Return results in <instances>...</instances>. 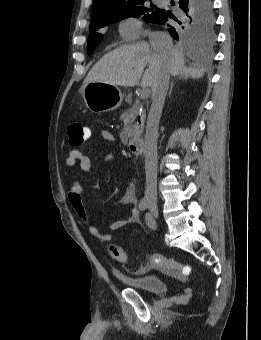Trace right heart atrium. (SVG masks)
<instances>
[{"instance_id": "d8ad5b80", "label": "right heart atrium", "mask_w": 261, "mask_h": 340, "mask_svg": "<svg viewBox=\"0 0 261 340\" xmlns=\"http://www.w3.org/2000/svg\"><path fill=\"white\" fill-rule=\"evenodd\" d=\"M119 32L126 40H135L145 35L141 21L136 17H127L119 23Z\"/></svg>"}]
</instances>
